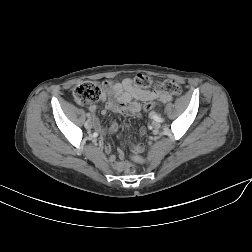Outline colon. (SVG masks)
Returning <instances> with one entry per match:
<instances>
[{"label": "colon", "mask_w": 252, "mask_h": 252, "mask_svg": "<svg viewBox=\"0 0 252 252\" xmlns=\"http://www.w3.org/2000/svg\"><path fill=\"white\" fill-rule=\"evenodd\" d=\"M134 85L138 88L147 89L151 86V79L145 74H138L134 78ZM153 88L156 92H162L168 95L179 94L181 91L180 85L174 80H163L154 83ZM73 97L79 102L98 101L102 99L103 92L97 83L82 82L72 89ZM155 104L149 103L145 106L146 110H151ZM125 171L128 174L135 172V166L132 163H127Z\"/></svg>", "instance_id": "obj_1"}]
</instances>
